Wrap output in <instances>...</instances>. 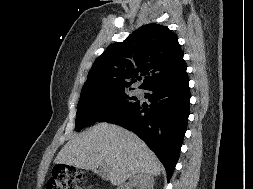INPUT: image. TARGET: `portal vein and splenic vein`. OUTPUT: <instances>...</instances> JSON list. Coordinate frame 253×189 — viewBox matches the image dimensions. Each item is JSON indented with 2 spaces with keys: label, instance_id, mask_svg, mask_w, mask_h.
Instances as JSON below:
<instances>
[{
  "label": "portal vein and splenic vein",
  "instance_id": "portal-vein-and-splenic-vein-1",
  "mask_svg": "<svg viewBox=\"0 0 253 189\" xmlns=\"http://www.w3.org/2000/svg\"><path fill=\"white\" fill-rule=\"evenodd\" d=\"M102 169H103L104 172L106 171V168H105L104 164H102Z\"/></svg>",
  "mask_w": 253,
  "mask_h": 189
}]
</instances>
